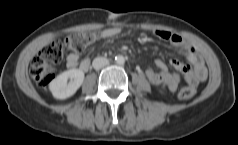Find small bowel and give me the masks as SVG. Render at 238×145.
I'll return each mask as SVG.
<instances>
[{"label":"small bowel","mask_w":238,"mask_h":145,"mask_svg":"<svg viewBox=\"0 0 238 145\" xmlns=\"http://www.w3.org/2000/svg\"><path fill=\"white\" fill-rule=\"evenodd\" d=\"M120 32L121 29L118 27L107 28L101 31L100 37L103 39H109L118 35ZM155 35L162 40L169 41L178 49L179 53L185 56V58L193 65L194 68L190 71V66L188 64L176 59L171 61L176 69L185 73V79L189 85L196 86L199 82L205 80L207 70L204 62L199 56L197 50L190 43H188L181 35L166 30H156ZM66 65L68 68H79L81 71L86 72L91 66V61L89 58L80 61L77 53H70L66 58ZM155 65L158 70L149 68L146 71L148 80L151 83L161 85L170 91H175L181 83V77L177 73L171 72L166 63L161 59H157Z\"/></svg>","instance_id":"1"}]
</instances>
